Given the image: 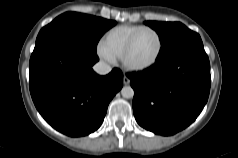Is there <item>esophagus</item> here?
Instances as JSON below:
<instances>
[{
	"label": "esophagus",
	"mask_w": 238,
	"mask_h": 158,
	"mask_svg": "<svg viewBox=\"0 0 238 158\" xmlns=\"http://www.w3.org/2000/svg\"><path fill=\"white\" fill-rule=\"evenodd\" d=\"M123 83L125 85H128L130 83V79L125 75L124 78H123Z\"/></svg>",
	"instance_id": "1"
}]
</instances>
